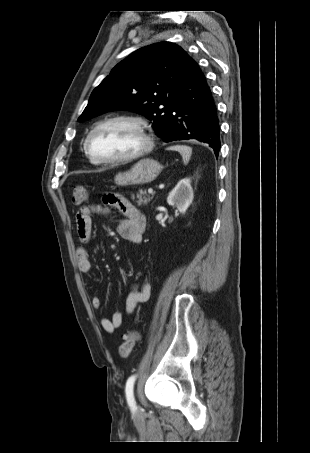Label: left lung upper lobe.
<instances>
[{
	"label": "left lung upper lobe",
	"mask_w": 310,
	"mask_h": 453,
	"mask_svg": "<svg viewBox=\"0 0 310 453\" xmlns=\"http://www.w3.org/2000/svg\"><path fill=\"white\" fill-rule=\"evenodd\" d=\"M192 58L171 42L136 50L118 63L92 92L78 121L116 109H131L153 120L161 134Z\"/></svg>",
	"instance_id": "left-lung-upper-lobe-1"
}]
</instances>
